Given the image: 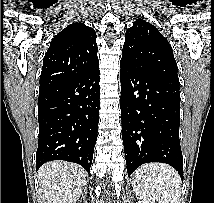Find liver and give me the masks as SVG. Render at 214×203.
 Segmentation results:
<instances>
[{"label":"liver","instance_id":"liver-1","mask_svg":"<svg viewBox=\"0 0 214 203\" xmlns=\"http://www.w3.org/2000/svg\"><path fill=\"white\" fill-rule=\"evenodd\" d=\"M39 193L43 203H76L85 187V170L73 163L52 161L38 171Z\"/></svg>","mask_w":214,"mask_h":203}]
</instances>
